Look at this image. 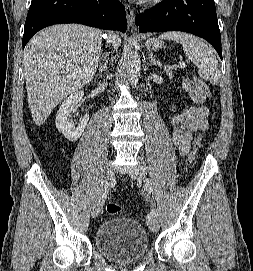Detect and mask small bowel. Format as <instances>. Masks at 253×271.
Segmentation results:
<instances>
[{
  "label": "small bowel",
  "instance_id": "obj_1",
  "mask_svg": "<svg viewBox=\"0 0 253 271\" xmlns=\"http://www.w3.org/2000/svg\"><path fill=\"white\" fill-rule=\"evenodd\" d=\"M184 90L191 102L195 103L182 114L169 118L172 133L171 139L182 156L189 153L193 133L205 132L209 128L208 110L202 105L205 97L199 91L195 81L187 80L183 84Z\"/></svg>",
  "mask_w": 253,
  "mask_h": 271
}]
</instances>
